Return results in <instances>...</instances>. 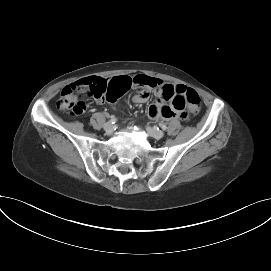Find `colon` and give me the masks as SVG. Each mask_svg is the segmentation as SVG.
Wrapping results in <instances>:
<instances>
[{"label":"colon","instance_id":"5ec220e1","mask_svg":"<svg viewBox=\"0 0 271 271\" xmlns=\"http://www.w3.org/2000/svg\"><path fill=\"white\" fill-rule=\"evenodd\" d=\"M90 84V83H89ZM89 84L88 90H89ZM84 83L82 81L66 86L59 96L57 107L60 110L68 111L71 115H80L85 111V103L80 99L79 94L83 91ZM90 92V91H89ZM166 97L172 95L166 91ZM174 104L177 107L189 106L193 112H197L201 105L199 94L193 89L178 90L174 96Z\"/></svg>","mask_w":271,"mask_h":271}]
</instances>
